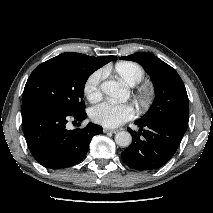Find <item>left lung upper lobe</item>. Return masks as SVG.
<instances>
[{"label":"left lung upper lobe","instance_id":"obj_1","mask_svg":"<svg viewBox=\"0 0 213 213\" xmlns=\"http://www.w3.org/2000/svg\"><path fill=\"white\" fill-rule=\"evenodd\" d=\"M120 59L141 64L150 75L154 85L155 100L148 112L138 121L141 123L172 121L188 127V96L176 70L146 52L122 56Z\"/></svg>","mask_w":213,"mask_h":213}]
</instances>
